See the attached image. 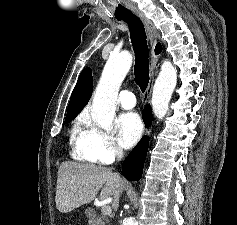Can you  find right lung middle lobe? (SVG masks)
<instances>
[{
    "instance_id": "1",
    "label": "right lung middle lobe",
    "mask_w": 237,
    "mask_h": 225,
    "mask_svg": "<svg viewBox=\"0 0 237 225\" xmlns=\"http://www.w3.org/2000/svg\"><path fill=\"white\" fill-rule=\"evenodd\" d=\"M76 116H77V114L66 116L65 122L68 123V122L72 121Z\"/></svg>"
}]
</instances>
